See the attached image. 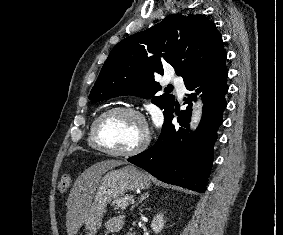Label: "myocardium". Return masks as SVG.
<instances>
[{
    "mask_svg": "<svg viewBox=\"0 0 283 235\" xmlns=\"http://www.w3.org/2000/svg\"><path fill=\"white\" fill-rule=\"evenodd\" d=\"M120 113H126L136 116L144 126V135L142 140L139 142L138 145H136L134 148L130 150H125V151L112 150L104 146L99 138V128L102 122L108 117ZM91 139L94 147L107 155L114 157H131L142 153L148 147L151 140V136H150L148 123L141 111H139L134 107L120 106L105 110L94 120L91 129Z\"/></svg>",
    "mask_w": 283,
    "mask_h": 235,
    "instance_id": "f54148a6",
    "label": "myocardium"
}]
</instances>
